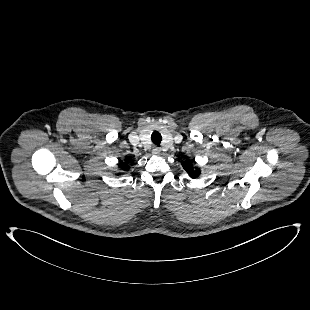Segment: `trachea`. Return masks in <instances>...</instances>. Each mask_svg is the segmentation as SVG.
I'll return each instance as SVG.
<instances>
[{"label":"trachea","mask_w":310,"mask_h":310,"mask_svg":"<svg viewBox=\"0 0 310 310\" xmlns=\"http://www.w3.org/2000/svg\"><path fill=\"white\" fill-rule=\"evenodd\" d=\"M151 139L155 145L159 146L162 141V136L159 132L154 131L151 135Z\"/></svg>","instance_id":"obj_1"}]
</instances>
